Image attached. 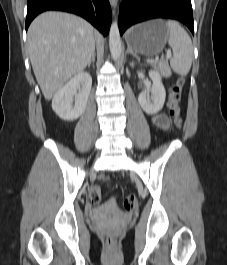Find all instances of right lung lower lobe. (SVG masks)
I'll list each match as a JSON object with an SVG mask.
<instances>
[{
  "instance_id": "obj_1",
  "label": "right lung lower lobe",
  "mask_w": 227,
  "mask_h": 265,
  "mask_svg": "<svg viewBox=\"0 0 227 265\" xmlns=\"http://www.w3.org/2000/svg\"><path fill=\"white\" fill-rule=\"evenodd\" d=\"M47 10L82 16L104 35H107L112 19L108 0H27L26 30L38 14Z\"/></svg>"
}]
</instances>
